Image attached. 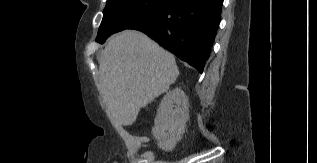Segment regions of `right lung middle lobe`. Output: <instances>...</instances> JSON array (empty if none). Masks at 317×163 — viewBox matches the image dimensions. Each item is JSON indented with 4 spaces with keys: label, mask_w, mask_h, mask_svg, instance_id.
Segmentation results:
<instances>
[{
    "label": "right lung middle lobe",
    "mask_w": 317,
    "mask_h": 163,
    "mask_svg": "<svg viewBox=\"0 0 317 163\" xmlns=\"http://www.w3.org/2000/svg\"><path fill=\"white\" fill-rule=\"evenodd\" d=\"M170 0H107L96 41L129 29L160 11Z\"/></svg>",
    "instance_id": "right-lung-middle-lobe-1"
}]
</instances>
